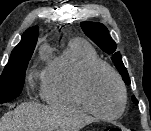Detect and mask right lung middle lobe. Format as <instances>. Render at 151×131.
I'll use <instances>...</instances> for the list:
<instances>
[{"instance_id": "right-lung-middle-lobe-1", "label": "right lung middle lobe", "mask_w": 151, "mask_h": 131, "mask_svg": "<svg viewBox=\"0 0 151 131\" xmlns=\"http://www.w3.org/2000/svg\"><path fill=\"white\" fill-rule=\"evenodd\" d=\"M35 45L15 48L0 77V104L15 99L22 91L25 72Z\"/></svg>"}]
</instances>
